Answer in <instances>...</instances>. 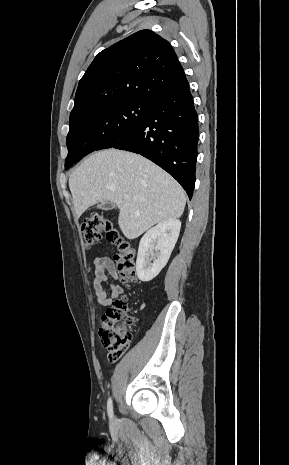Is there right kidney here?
<instances>
[{"label": "right kidney", "mask_w": 289, "mask_h": 465, "mask_svg": "<svg viewBox=\"0 0 289 465\" xmlns=\"http://www.w3.org/2000/svg\"><path fill=\"white\" fill-rule=\"evenodd\" d=\"M180 228L181 222L177 219L163 220L141 238L136 260V273L141 281H151L165 267Z\"/></svg>", "instance_id": "right-kidney-1"}]
</instances>
